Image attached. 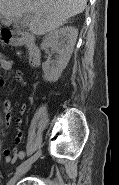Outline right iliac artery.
I'll use <instances>...</instances> for the list:
<instances>
[{
	"label": "right iliac artery",
	"instance_id": "obj_1",
	"mask_svg": "<svg viewBox=\"0 0 119 185\" xmlns=\"http://www.w3.org/2000/svg\"><path fill=\"white\" fill-rule=\"evenodd\" d=\"M40 155V150H38L32 157H30L29 159H27L26 161H24L22 164H20L17 168H16V172L20 171L22 168H24L26 165L30 164L31 162H33L34 160L37 159V157Z\"/></svg>",
	"mask_w": 119,
	"mask_h": 185
}]
</instances>
